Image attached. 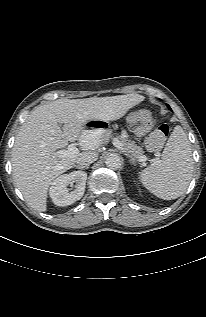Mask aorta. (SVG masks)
<instances>
[{
	"instance_id": "aorta-1",
	"label": "aorta",
	"mask_w": 206,
	"mask_h": 317,
	"mask_svg": "<svg viewBox=\"0 0 206 317\" xmlns=\"http://www.w3.org/2000/svg\"><path fill=\"white\" fill-rule=\"evenodd\" d=\"M105 164L108 168L116 170L121 166V159L117 154H110L106 157Z\"/></svg>"
}]
</instances>
